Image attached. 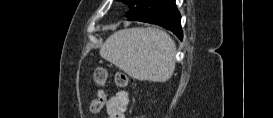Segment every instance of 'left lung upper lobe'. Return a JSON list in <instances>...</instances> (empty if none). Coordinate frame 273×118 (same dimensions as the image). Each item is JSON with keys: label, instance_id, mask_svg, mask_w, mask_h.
Masks as SVG:
<instances>
[{"label": "left lung upper lobe", "instance_id": "1", "mask_svg": "<svg viewBox=\"0 0 273 118\" xmlns=\"http://www.w3.org/2000/svg\"><path fill=\"white\" fill-rule=\"evenodd\" d=\"M129 4L130 10L126 17L130 21H140L150 14L157 12L168 0H122Z\"/></svg>", "mask_w": 273, "mask_h": 118}]
</instances>
